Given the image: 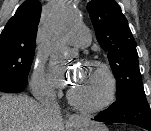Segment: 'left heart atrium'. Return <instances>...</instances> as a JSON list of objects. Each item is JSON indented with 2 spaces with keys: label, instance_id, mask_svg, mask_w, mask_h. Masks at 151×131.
I'll return each instance as SVG.
<instances>
[{
  "label": "left heart atrium",
  "instance_id": "39dd6f15",
  "mask_svg": "<svg viewBox=\"0 0 151 131\" xmlns=\"http://www.w3.org/2000/svg\"><path fill=\"white\" fill-rule=\"evenodd\" d=\"M55 77L59 85H65L67 83L66 78L64 77V74L60 70L56 71Z\"/></svg>",
  "mask_w": 151,
  "mask_h": 131
}]
</instances>
